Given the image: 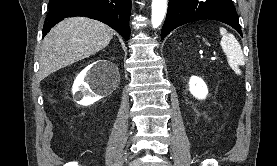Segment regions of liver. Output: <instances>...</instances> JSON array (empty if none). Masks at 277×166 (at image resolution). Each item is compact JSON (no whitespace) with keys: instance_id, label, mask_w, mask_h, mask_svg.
Wrapping results in <instances>:
<instances>
[{"instance_id":"obj_1","label":"liver","mask_w":277,"mask_h":166,"mask_svg":"<svg viewBox=\"0 0 277 166\" xmlns=\"http://www.w3.org/2000/svg\"><path fill=\"white\" fill-rule=\"evenodd\" d=\"M114 35L108 25L84 17L64 19L46 35L41 46L39 79L90 57L105 48Z\"/></svg>"}]
</instances>
